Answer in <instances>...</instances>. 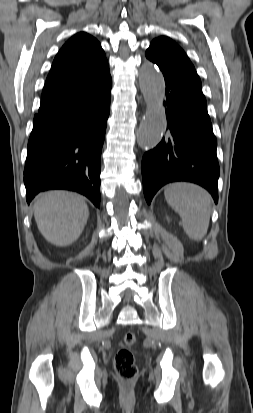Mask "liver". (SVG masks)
<instances>
[{
	"instance_id": "liver-1",
	"label": "liver",
	"mask_w": 253,
	"mask_h": 413,
	"mask_svg": "<svg viewBox=\"0 0 253 413\" xmlns=\"http://www.w3.org/2000/svg\"><path fill=\"white\" fill-rule=\"evenodd\" d=\"M34 217L39 231L48 242L68 246L80 237L89 217V209L77 194L49 191L36 198Z\"/></svg>"
}]
</instances>
